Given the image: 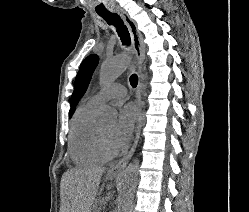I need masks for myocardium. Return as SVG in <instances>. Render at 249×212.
Returning <instances> with one entry per match:
<instances>
[{
  "label": "myocardium",
  "mask_w": 249,
  "mask_h": 212,
  "mask_svg": "<svg viewBox=\"0 0 249 212\" xmlns=\"http://www.w3.org/2000/svg\"><path fill=\"white\" fill-rule=\"evenodd\" d=\"M96 139H97L99 150L105 158L111 159L116 156L117 153L113 149H111L105 142L99 126H97L96 128Z\"/></svg>",
  "instance_id": "1"
}]
</instances>
